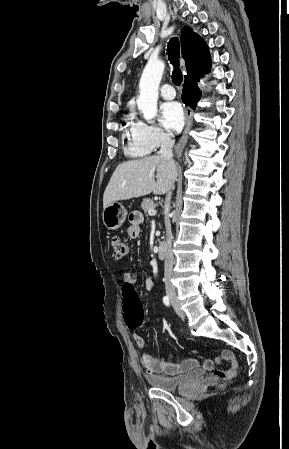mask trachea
I'll return each instance as SVG.
<instances>
[{"label": "trachea", "mask_w": 289, "mask_h": 449, "mask_svg": "<svg viewBox=\"0 0 289 449\" xmlns=\"http://www.w3.org/2000/svg\"><path fill=\"white\" fill-rule=\"evenodd\" d=\"M167 55L170 63L173 65L174 70L172 73V82L179 86L182 83L183 76L179 68L180 59V46L177 37L171 38L167 45Z\"/></svg>", "instance_id": "trachea-1"}]
</instances>
